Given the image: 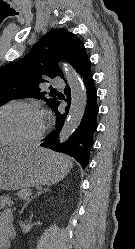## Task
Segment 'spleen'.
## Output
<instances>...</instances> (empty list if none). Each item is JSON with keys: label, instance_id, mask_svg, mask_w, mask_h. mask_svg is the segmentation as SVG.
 <instances>
[{"label": "spleen", "instance_id": "spleen-1", "mask_svg": "<svg viewBox=\"0 0 135 249\" xmlns=\"http://www.w3.org/2000/svg\"><path fill=\"white\" fill-rule=\"evenodd\" d=\"M57 157L59 158V160L62 162V163H67V162H71V160L64 156V155H57Z\"/></svg>", "mask_w": 135, "mask_h": 249}]
</instances>
